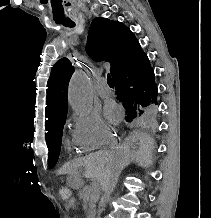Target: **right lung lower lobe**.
Returning a JSON list of instances; mask_svg holds the SVG:
<instances>
[{
    "mask_svg": "<svg viewBox=\"0 0 211 218\" xmlns=\"http://www.w3.org/2000/svg\"><path fill=\"white\" fill-rule=\"evenodd\" d=\"M112 77L117 98L130 97L149 103L157 102L158 88L154 71L143 51L133 61L120 66Z\"/></svg>",
    "mask_w": 211,
    "mask_h": 218,
    "instance_id": "98d812e1",
    "label": "right lung lower lobe"
}]
</instances>
